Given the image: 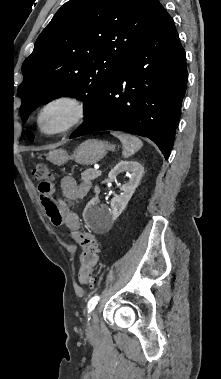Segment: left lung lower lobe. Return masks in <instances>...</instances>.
Returning a JSON list of instances; mask_svg holds the SVG:
<instances>
[{
  "instance_id": "0a47b994",
  "label": "left lung lower lobe",
  "mask_w": 221,
  "mask_h": 379,
  "mask_svg": "<svg viewBox=\"0 0 221 379\" xmlns=\"http://www.w3.org/2000/svg\"><path fill=\"white\" fill-rule=\"evenodd\" d=\"M186 85L185 51L164 9L153 30L106 82L70 138L125 131L148 137L168 159Z\"/></svg>"
}]
</instances>
